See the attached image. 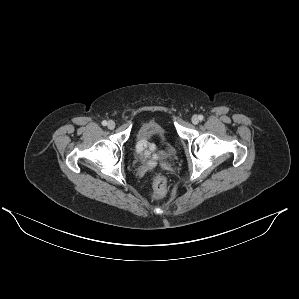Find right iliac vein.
<instances>
[{
    "label": "right iliac vein",
    "instance_id": "1",
    "mask_svg": "<svg viewBox=\"0 0 299 299\" xmlns=\"http://www.w3.org/2000/svg\"><path fill=\"white\" fill-rule=\"evenodd\" d=\"M107 127H108L109 129H114V128H115V122L112 121V120L108 121V123H107Z\"/></svg>",
    "mask_w": 299,
    "mask_h": 299
}]
</instances>
